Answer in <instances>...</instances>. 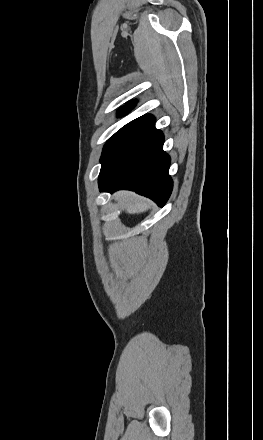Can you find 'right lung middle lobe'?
Wrapping results in <instances>:
<instances>
[{
    "instance_id": "obj_1",
    "label": "right lung middle lobe",
    "mask_w": 263,
    "mask_h": 440,
    "mask_svg": "<svg viewBox=\"0 0 263 440\" xmlns=\"http://www.w3.org/2000/svg\"><path fill=\"white\" fill-rule=\"evenodd\" d=\"M131 109H120L119 116L127 114ZM154 123V116L143 115L126 124L106 142L100 160L102 164L100 180L111 174Z\"/></svg>"
}]
</instances>
